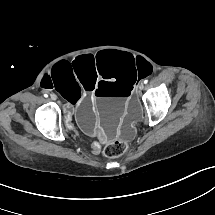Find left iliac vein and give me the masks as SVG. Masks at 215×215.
I'll return each mask as SVG.
<instances>
[{
    "label": "left iliac vein",
    "mask_w": 215,
    "mask_h": 215,
    "mask_svg": "<svg viewBox=\"0 0 215 215\" xmlns=\"http://www.w3.org/2000/svg\"><path fill=\"white\" fill-rule=\"evenodd\" d=\"M139 90H143L144 89V84L141 82L139 83V86H138Z\"/></svg>",
    "instance_id": "4c4485c4"
}]
</instances>
